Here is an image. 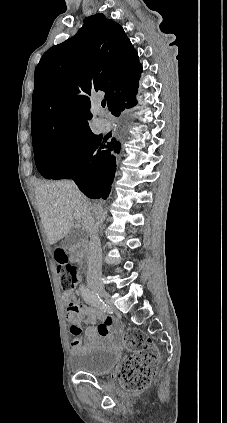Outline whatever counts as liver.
<instances>
[{
    "label": "liver",
    "instance_id": "6515ba94",
    "mask_svg": "<svg viewBox=\"0 0 227 423\" xmlns=\"http://www.w3.org/2000/svg\"><path fill=\"white\" fill-rule=\"evenodd\" d=\"M83 200H86L85 196L70 180L36 186L37 210L51 245L71 233L74 217L78 221H83L85 217Z\"/></svg>",
    "mask_w": 227,
    "mask_h": 423
}]
</instances>
